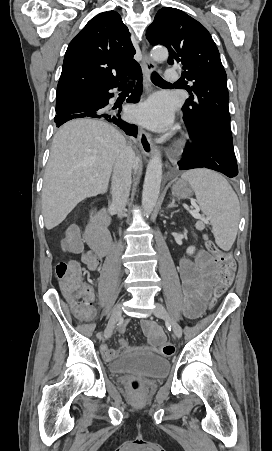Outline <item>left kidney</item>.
Returning <instances> with one entry per match:
<instances>
[{
    "mask_svg": "<svg viewBox=\"0 0 272 451\" xmlns=\"http://www.w3.org/2000/svg\"><path fill=\"white\" fill-rule=\"evenodd\" d=\"M194 251H195L194 245H189V247H187L186 249V253H190V255L191 253H194Z\"/></svg>",
    "mask_w": 272,
    "mask_h": 451,
    "instance_id": "left-kidney-1",
    "label": "left kidney"
}]
</instances>
